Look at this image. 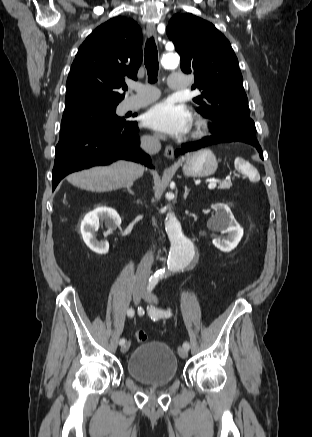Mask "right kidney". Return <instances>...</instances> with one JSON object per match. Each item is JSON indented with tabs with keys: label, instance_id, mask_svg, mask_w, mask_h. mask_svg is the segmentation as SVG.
I'll list each match as a JSON object with an SVG mask.
<instances>
[{
	"label": "right kidney",
	"instance_id": "right-kidney-1",
	"mask_svg": "<svg viewBox=\"0 0 312 437\" xmlns=\"http://www.w3.org/2000/svg\"><path fill=\"white\" fill-rule=\"evenodd\" d=\"M99 220L105 221L106 227L113 230L121 224V218L114 209L101 206L86 214L81 222V234L85 244L92 251L105 254L109 250V243L98 241L95 238V231L99 228Z\"/></svg>",
	"mask_w": 312,
	"mask_h": 437
}]
</instances>
